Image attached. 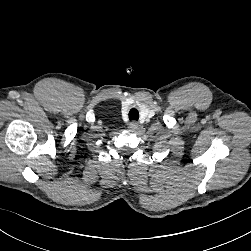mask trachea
Listing matches in <instances>:
<instances>
[{
    "instance_id": "obj_1",
    "label": "trachea",
    "mask_w": 251,
    "mask_h": 251,
    "mask_svg": "<svg viewBox=\"0 0 251 251\" xmlns=\"http://www.w3.org/2000/svg\"><path fill=\"white\" fill-rule=\"evenodd\" d=\"M139 119V112L137 109L132 108L129 112V120H138Z\"/></svg>"
}]
</instances>
